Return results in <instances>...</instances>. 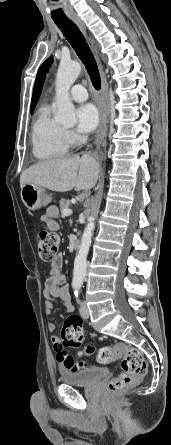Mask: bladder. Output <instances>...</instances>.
Masks as SVG:
<instances>
[{"mask_svg":"<svg viewBox=\"0 0 171 445\" xmlns=\"http://www.w3.org/2000/svg\"><path fill=\"white\" fill-rule=\"evenodd\" d=\"M108 375V370L94 366L61 372V380L67 385L90 386Z\"/></svg>","mask_w":171,"mask_h":445,"instance_id":"bladder-1","label":"bladder"}]
</instances>
